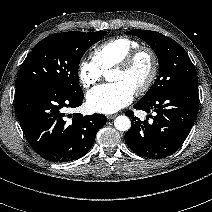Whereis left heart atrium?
<instances>
[{"mask_svg":"<svg viewBox=\"0 0 212 212\" xmlns=\"http://www.w3.org/2000/svg\"><path fill=\"white\" fill-rule=\"evenodd\" d=\"M134 90L123 82L97 86L87 93V106L98 113L111 114L130 104Z\"/></svg>","mask_w":212,"mask_h":212,"instance_id":"1","label":"left heart atrium"}]
</instances>
